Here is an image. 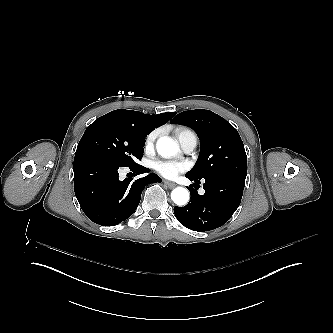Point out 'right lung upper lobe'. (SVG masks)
Returning a JSON list of instances; mask_svg holds the SVG:
<instances>
[{"instance_id": "obj_1", "label": "right lung upper lobe", "mask_w": 333, "mask_h": 333, "mask_svg": "<svg viewBox=\"0 0 333 333\" xmlns=\"http://www.w3.org/2000/svg\"><path fill=\"white\" fill-rule=\"evenodd\" d=\"M176 113H162L158 115H147L139 111L118 109L102 117H113L121 121L128 122L135 127H139L146 132H151L155 128L167 123Z\"/></svg>"}]
</instances>
